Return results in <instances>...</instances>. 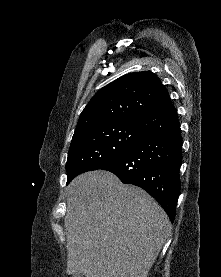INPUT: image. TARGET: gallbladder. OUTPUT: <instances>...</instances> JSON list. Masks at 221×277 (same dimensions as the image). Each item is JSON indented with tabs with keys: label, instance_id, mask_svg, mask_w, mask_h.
I'll list each match as a JSON object with an SVG mask.
<instances>
[{
	"label": "gallbladder",
	"instance_id": "obj_1",
	"mask_svg": "<svg viewBox=\"0 0 221 277\" xmlns=\"http://www.w3.org/2000/svg\"><path fill=\"white\" fill-rule=\"evenodd\" d=\"M72 277H83V274H78V273H76V274H74Z\"/></svg>",
	"mask_w": 221,
	"mask_h": 277
}]
</instances>
